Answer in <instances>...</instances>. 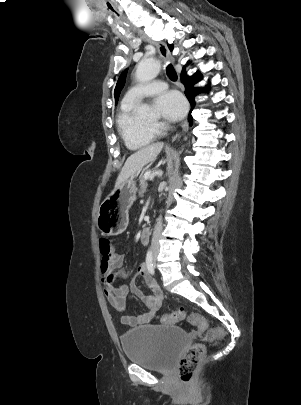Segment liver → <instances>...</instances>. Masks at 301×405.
I'll use <instances>...</instances> for the list:
<instances>
[{"label": "liver", "instance_id": "6515ba94", "mask_svg": "<svg viewBox=\"0 0 301 405\" xmlns=\"http://www.w3.org/2000/svg\"><path fill=\"white\" fill-rule=\"evenodd\" d=\"M164 144L158 142L144 148H141L137 152L129 156L118 175L115 187L120 186L124 181L129 179L132 176H135L136 173L143 168L146 164L152 161L163 149ZM167 152H170V149H166Z\"/></svg>", "mask_w": 301, "mask_h": 405}]
</instances>
